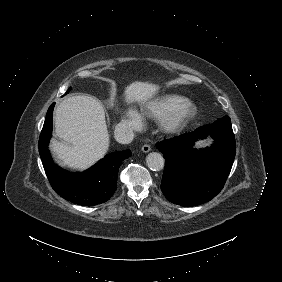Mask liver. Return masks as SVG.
<instances>
[{
    "mask_svg": "<svg viewBox=\"0 0 282 282\" xmlns=\"http://www.w3.org/2000/svg\"><path fill=\"white\" fill-rule=\"evenodd\" d=\"M159 89L157 84L132 82L125 88V101L147 102ZM54 125L56 135L68 143L51 140V150L61 165L84 170L107 153L109 134L98 101L81 95L64 99L56 109Z\"/></svg>",
    "mask_w": 282,
    "mask_h": 282,
    "instance_id": "liver-1",
    "label": "liver"
}]
</instances>
